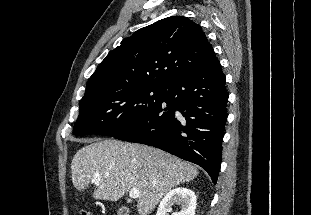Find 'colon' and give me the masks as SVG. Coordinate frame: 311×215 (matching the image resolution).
I'll return each instance as SVG.
<instances>
[{"label": "colon", "instance_id": "1", "mask_svg": "<svg viewBox=\"0 0 311 215\" xmlns=\"http://www.w3.org/2000/svg\"><path fill=\"white\" fill-rule=\"evenodd\" d=\"M81 215H91V214L89 212H87V211H84V212H82Z\"/></svg>", "mask_w": 311, "mask_h": 215}]
</instances>
